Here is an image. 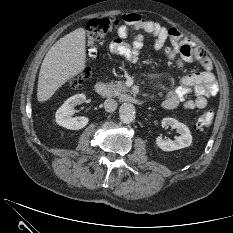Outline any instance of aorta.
<instances>
[{
  "label": "aorta",
  "instance_id": "762f6f07",
  "mask_svg": "<svg viewBox=\"0 0 233 233\" xmlns=\"http://www.w3.org/2000/svg\"><path fill=\"white\" fill-rule=\"evenodd\" d=\"M121 122L129 124L135 119V106L131 103H123L119 109Z\"/></svg>",
  "mask_w": 233,
  "mask_h": 233
}]
</instances>
